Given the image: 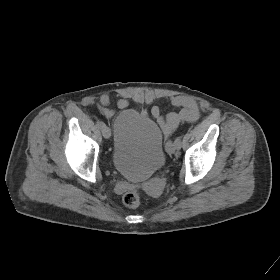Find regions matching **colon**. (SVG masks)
I'll use <instances>...</instances> for the list:
<instances>
[{
  "label": "colon",
  "mask_w": 280,
  "mask_h": 280,
  "mask_svg": "<svg viewBox=\"0 0 280 280\" xmlns=\"http://www.w3.org/2000/svg\"><path fill=\"white\" fill-rule=\"evenodd\" d=\"M140 193L137 190H130L123 196V202L130 208L137 207L140 204Z\"/></svg>",
  "instance_id": "1"
}]
</instances>
